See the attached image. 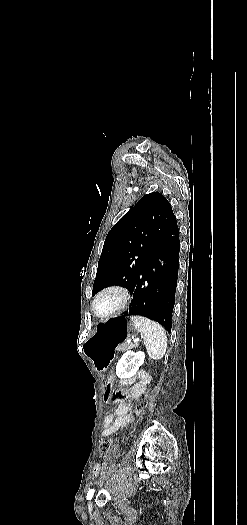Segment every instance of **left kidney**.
Masks as SVG:
<instances>
[{
    "label": "left kidney",
    "instance_id": "left-kidney-1",
    "mask_svg": "<svg viewBox=\"0 0 247 525\" xmlns=\"http://www.w3.org/2000/svg\"><path fill=\"white\" fill-rule=\"evenodd\" d=\"M145 361V355L142 351L134 353V351H127L122 355L119 363H117L116 373L118 377L120 375H126V377H133L137 373L139 367L143 365Z\"/></svg>",
    "mask_w": 247,
    "mask_h": 525
}]
</instances>
